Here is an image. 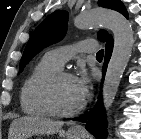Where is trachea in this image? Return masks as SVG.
Listing matches in <instances>:
<instances>
[{
  "label": "trachea",
  "mask_w": 141,
  "mask_h": 139,
  "mask_svg": "<svg viewBox=\"0 0 141 139\" xmlns=\"http://www.w3.org/2000/svg\"><path fill=\"white\" fill-rule=\"evenodd\" d=\"M103 56H104V51L103 50L98 51L97 54H96L97 58H103Z\"/></svg>",
  "instance_id": "1"
}]
</instances>
